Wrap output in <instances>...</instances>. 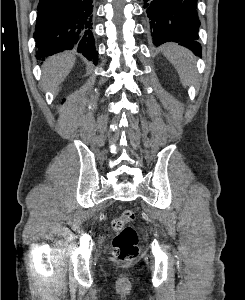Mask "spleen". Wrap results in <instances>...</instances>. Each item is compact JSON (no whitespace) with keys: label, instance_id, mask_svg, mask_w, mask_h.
Returning a JSON list of instances; mask_svg holds the SVG:
<instances>
[{"label":"spleen","instance_id":"3e777b00","mask_svg":"<svg viewBox=\"0 0 245 300\" xmlns=\"http://www.w3.org/2000/svg\"><path fill=\"white\" fill-rule=\"evenodd\" d=\"M163 54L178 71L182 84L187 86L195 76L192 53L176 45H168Z\"/></svg>","mask_w":245,"mask_h":300}]
</instances>
